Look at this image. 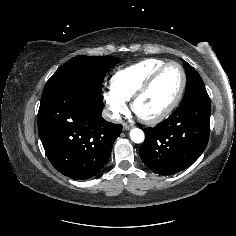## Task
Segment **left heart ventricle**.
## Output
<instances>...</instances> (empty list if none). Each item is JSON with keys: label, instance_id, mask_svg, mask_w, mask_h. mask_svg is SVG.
I'll return each instance as SVG.
<instances>
[{"label": "left heart ventricle", "instance_id": "obj_1", "mask_svg": "<svg viewBox=\"0 0 236 236\" xmlns=\"http://www.w3.org/2000/svg\"><path fill=\"white\" fill-rule=\"evenodd\" d=\"M181 81L182 76L178 67L167 68L151 89L139 99L136 105L137 112L144 117H153L162 112L176 97Z\"/></svg>", "mask_w": 236, "mask_h": 236}]
</instances>
